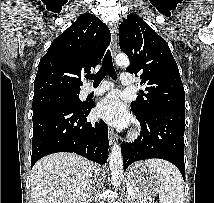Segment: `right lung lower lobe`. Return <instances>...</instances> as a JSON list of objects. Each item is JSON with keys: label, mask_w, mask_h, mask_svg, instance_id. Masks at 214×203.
<instances>
[{"label": "right lung lower lobe", "mask_w": 214, "mask_h": 203, "mask_svg": "<svg viewBox=\"0 0 214 203\" xmlns=\"http://www.w3.org/2000/svg\"><path fill=\"white\" fill-rule=\"evenodd\" d=\"M93 105H57L33 113L31 168L42 157L72 152L101 165L108 159V128L103 120L87 122Z\"/></svg>", "instance_id": "1"}]
</instances>
